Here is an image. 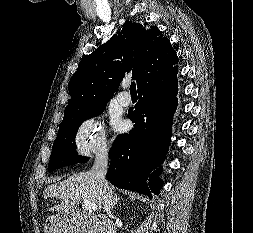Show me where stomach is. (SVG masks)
I'll return each instance as SVG.
<instances>
[{"instance_id": "0dacf381", "label": "stomach", "mask_w": 253, "mask_h": 233, "mask_svg": "<svg viewBox=\"0 0 253 233\" xmlns=\"http://www.w3.org/2000/svg\"><path fill=\"white\" fill-rule=\"evenodd\" d=\"M75 220L76 217L73 212L49 217L44 224V231L45 233H78Z\"/></svg>"}]
</instances>
